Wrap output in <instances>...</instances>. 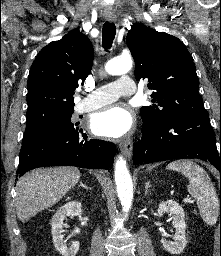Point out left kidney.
Returning <instances> with one entry per match:
<instances>
[{"label": "left kidney", "instance_id": "left-kidney-1", "mask_svg": "<svg viewBox=\"0 0 221 256\" xmlns=\"http://www.w3.org/2000/svg\"><path fill=\"white\" fill-rule=\"evenodd\" d=\"M158 214L170 213L173 217V227L175 228L174 241H168L164 238L161 243L166 251L171 254H180L186 247L187 240L185 237L186 223L185 212L183 208L173 200L163 201L159 204Z\"/></svg>", "mask_w": 221, "mask_h": 256}]
</instances>
